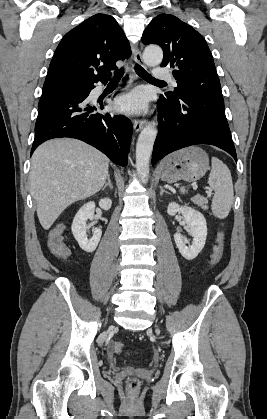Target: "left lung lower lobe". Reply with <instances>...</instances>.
<instances>
[{
	"label": "left lung lower lobe",
	"instance_id": "left-lung-lower-lobe-1",
	"mask_svg": "<svg viewBox=\"0 0 267 419\" xmlns=\"http://www.w3.org/2000/svg\"><path fill=\"white\" fill-rule=\"evenodd\" d=\"M157 108L159 133L154 143L152 165L175 150L196 144L215 145L237 161L221 92L203 91L178 101L160 97Z\"/></svg>",
	"mask_w": 267,
	"mask_h": 419
}]
</instances>
